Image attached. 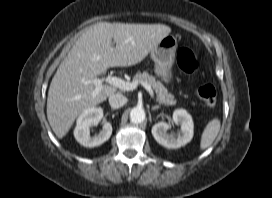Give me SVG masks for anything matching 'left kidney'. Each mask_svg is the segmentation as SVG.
I'll list each match as a JSON object with an SVG mask.
<instances>
[{"instance_id":"left-kidney-1","label":"left kidney","mask_w":272,"mask_h":198,"mask_svg":"<svg viewBox=\"0 0 272 198\" xmlns=\"http://www.w3.org/2000/svg\"><path fill=\"white\" fill-rule=\"evenodd\" d=\"M173 121L181 125V130L175 137L169 135V125L166 122H158L152 127V135L155 140L166 148H180L189 143L193 138V120L185 109H177L173 112Z\"/></svg>"}]
</instances>
